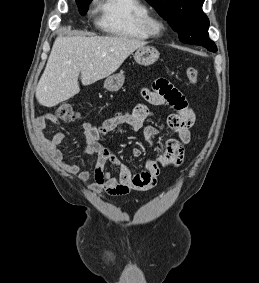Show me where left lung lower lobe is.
I'll use <instances>...</instances> for the list:
<instances>
[{
	"mask_svg": "<svg viewBox=\"0 0 259 283\" xmlns=\"http://www.w3.org/2000/svg\"><path fill=\"white\" fill-rule=\"evenodd\" d=\"M204 47L207 48L211 52H216L217 51V47H216L215 44L205 45Z\"/></svg>",
	"mask_w": 259,
	"mask_h": 283,
	"instance_id": "0a47b994",
	"label": "left lung lower lobe"
}]
</instances>
